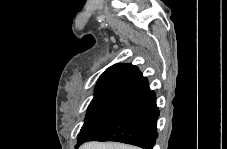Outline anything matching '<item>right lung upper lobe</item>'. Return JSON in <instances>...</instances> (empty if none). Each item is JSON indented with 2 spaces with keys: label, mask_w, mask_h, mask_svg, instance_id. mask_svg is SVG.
Listing matches in <instances>:
<instances>
[{
  "label": "right lung upper lobe",
  "mask_w": 227,
  "mask_h": 149,
  "mask_svg": "<svg viewBox=\"0 0 227 149\" xmlns=\"http://www.w3.org/2000/svg\"><path fill=\"white\" fill-rule=\"evenodd\" d=\"M148 80L139 69L132 64H114L98 79L96 91L109 87H125L140 90Z\"/></svg>",
  "instance_id": "cb5924a9"
}]
</instances>
